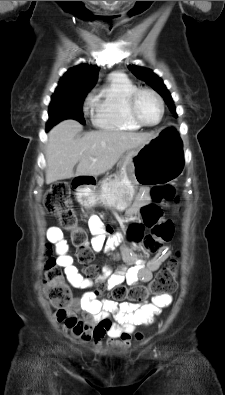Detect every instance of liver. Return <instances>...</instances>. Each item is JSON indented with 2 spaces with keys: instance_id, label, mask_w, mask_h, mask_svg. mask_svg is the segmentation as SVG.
<instances>
[{
  "instance_id": "obj_1",
  "label": "liver",
  "mask_w": 225,
  "mask_h": 395,
  "mask_svg": "<svg viewBox=\"0 0 225 395\" xmlns=\"http://www.w3.org/2000/svg\"><path fill=\"white\" fill-rule=\"evenodd\" d=\"M81 131L82 125L75 120H64L50 130L46 146V184L74 176L104 174L126 151L147 144L156 136L152 133L103 130L75 139Z\"/></svg>"
}]
</instances>
